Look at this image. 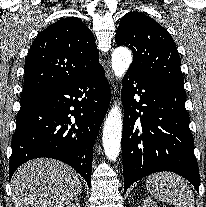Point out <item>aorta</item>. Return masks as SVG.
<instances>
[{"label":"aorta","instance_id":"obj_1","mask_svg":"<svg viewBox=\"0 0 206 207\" xmlns=\"http://www.w3.org/2000/svg\"><path fill=\"white\" fill-rule=\"evenodd\" d=\"M132 62L131 51L119 47L112 53V68L115 76L122 78ZM122 138V114L115 104L109 111L103 128V148L109 160L115 161L119 155Z\"/></svg>","mask_w":206,"mask_h":207}]
</instances>
